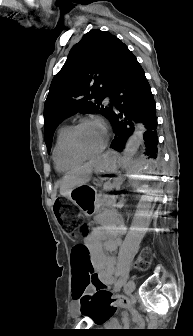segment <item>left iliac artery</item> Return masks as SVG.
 Returning a JSON list of instances; mask_svg holds the SVG:
<instances>
[{"mask_svg": "<svg viewBox=\"0 0 193 336\" xmlns=\"http://www.w3.org/2000/svg\"><path fill=\"white\" fill-rule=\"evenodd\" d=\"M122 284H123V280H122V279H119V280L117 281V283L115 284L114 290H115V291H118V290L121 288Z\"/></svg>", "mask_w": 193, "mask_h": 336, "instance_id": "44dca946", "label": "left iliac artery"}]
</instances>
